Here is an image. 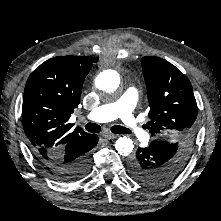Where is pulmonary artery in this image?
I'll return each mask as SVG.
<instances>
[{"instance_id":"obj_1","label":"pulmonary artery","mask_w":221,"mask_h":221,"mask_svg":"<svg viewBox=\"0 0 221 221\" xmlns=\"http://www.w3.org/2000/svg\"><path fill=\"white\" fill-rule=\"evenodd\" d=\"M137 98L138 92L136 88L130 86L117 100L93 109L86 118L94 122H108L120 118L124 127L128 129L132 135L138 138H144L147 133L133 114Z\"/></svg>"}]
</instances>
